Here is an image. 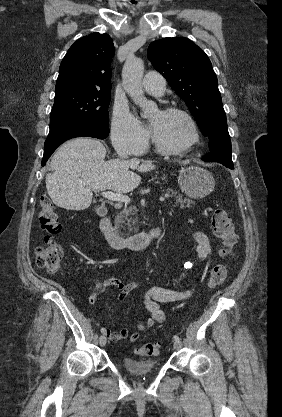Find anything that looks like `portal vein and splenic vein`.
<instances>
[{
    "mask_svg": "<svg viewBox=\"0 0 282 417\" xmlns=\"http://www.w3.org/2000/svg\"><path fill=\"white\" fill-rule=\"evenodd\" d=\"M101 194L104 198H108V200H119V202H129L130 200L129 196H127V194H123V192H111V190H104ZM159 202L167 203V196H160Z\"/></svg>",
    "mask_w": 282,
    "mask_h": 417,
    "instance_id": "18ae733b",
    "label": "portal vein and splenic vein"
}]
</instances>
